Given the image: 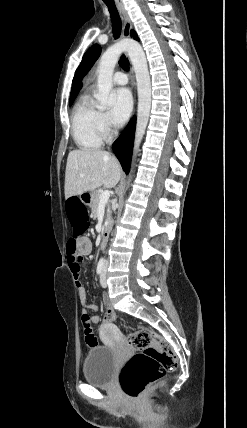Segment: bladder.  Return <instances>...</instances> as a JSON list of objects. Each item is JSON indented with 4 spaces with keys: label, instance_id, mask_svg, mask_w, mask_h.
Returning a JSON list of instances; mask_svg holds the SVG:
<instances>
[{
    "label": "bladder",
    "instance_id": "bladder-1",
    "mask_svg": "<svg viewBox=\"0 0 247 428\" xmlns=\"http://www.w3.org/2000/svg\"><path fill=\"white\" fill-rule=\"evenodd\" d=\"M118 367V356L114 349L96 346L89 350L83 365L85 380L95 386H109Z\"/></svg>",
    "mask_w": 247,
    "mask_h": 428
}]
</instances>
